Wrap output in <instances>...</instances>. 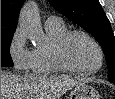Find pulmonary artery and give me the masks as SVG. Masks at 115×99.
Listing matches in <instances>:
<instances>
[{
    "label": "pulmonary artery",
    "mask_w": 115,
    "mask_h": 99,
    "mask_svg": "<svg viewBox=\"0 0 115 99\" xmlns=\"http://www.w3.org/2000/svg\"><path fill=\"white\" fill-rule=\"evenodd\" d=\"M59 20H61V19L57 16H50L47 18V21H59Z\"/></svg>",
    "instance_id": "1"
}]
</instances>
